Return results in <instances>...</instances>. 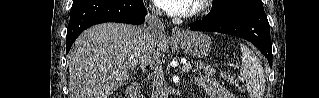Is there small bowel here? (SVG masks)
<instances>
[{
  "label": "small bowel",
  "instance_id": "small-bowel-1",
  "mask_svg": "<svg viewBox=\"0 0 319 98\" xmlns=\"http://www.w3.org/2000/svg\"><path fill=\"white\" fill-rule=\"evenodd\" d=\"M201 82L205 89L209 92L210 98H233L226 88L216 84L214 81L202 78Z\"/></svg>",
  "mask_w": 319,
  "mask_h": 98
}]
</instances>
